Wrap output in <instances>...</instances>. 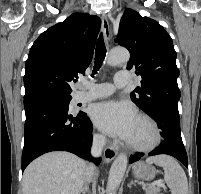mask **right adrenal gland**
Instances as JSON below:
<instances>
[{
  "label": "right adrenal gland",
  "instance_id": "1",
  "mask_svg": "<svg viewBox=\"0 0 201 194\" xmlns=\"http://www.w3.org/2000/svg\"><path fill=\"white\" fill-rule=\"evenodd\" d=\"M89 192V189H88V186L87 185H85L84 187H83V189L80 191V193L79 194H86V193H88Z\"/></svg>",
  "mask_w": 201,
  "mask_h": 194
}]
</instances>
